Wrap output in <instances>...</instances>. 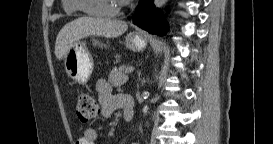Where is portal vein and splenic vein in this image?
Here are the masks:
<instances>
[{"label": "portal vein and splenic vein", "instance_id": "1", "mask_svg": "<svg viewBox=\"0 0 273 144\" xmlns=\"http://www.w3.org/2000/svg\"><path fill=\"white\" fill-rule=\"evenodd\" d=\"M134 71V67H128L127 69H126V73L127 74H130V73H132Z\"/></svg>", "mask_w": 273, "mask_h": 144}]
</instances>
